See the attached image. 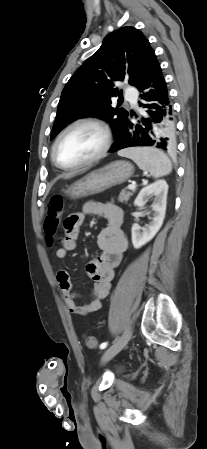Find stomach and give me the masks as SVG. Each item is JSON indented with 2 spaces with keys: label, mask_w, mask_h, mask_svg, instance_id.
<instances>
[{
  "label": "stomach",
  "mask_w": 207,
  "mask_h": 449,
  "mask_svg": "<svg viewBox=\"0 0 207 449\" xmlns=\"http://www.w3.org/2000/svg\"><path fill=\"white\" fill-rule=\"evenodd\" d=\"M134 173V166L127 161H114L94 170L74 182L64 193L71 199L84 198L101 193L127 181Z\"/></svg>",
  "instance_id": "stomach-1"
}]
</instances>
